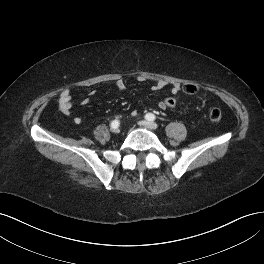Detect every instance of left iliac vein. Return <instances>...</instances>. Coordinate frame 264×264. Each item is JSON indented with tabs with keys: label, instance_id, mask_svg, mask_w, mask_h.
Listing matches in <instances>:
<instances>
[{
	"label": "left iliac vein",
	"instance_id": "1",
	"mask_svg": "<svg viewBox=\"0 0 264 264\" xmlns=\"http://www.w3.org/2000/svg\"><path fill=\"white\" fill-rule=\"evenodd\" d=\"M138 124L142 127H146V128L153 129V130L158 128V125L155 122H150L146 120L139 121Z\"/></svg>",
	"mask_w": 264,
	"mask_h": 264
}]
</instances>
